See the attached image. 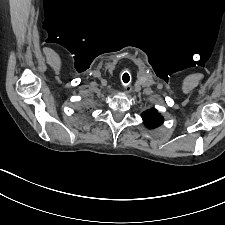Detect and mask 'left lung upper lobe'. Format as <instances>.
Listing matches in <instances>:
<instances>
[{"instance_id":"obj_1","label":"left lung upper lobe","mask_w":225,"mask_h":225,"mask_svg":"<svg viewBox=\"0 0 225 225\" xmlns=\"http://www.w3.org/2000/svg\"><path fill=\"white\" fill-rule=\"evenodd\" d=\"M144 124L149 129H154L159 127L163 123V118L161 115L157 112L156 109L147 110L141 115Z\"/></svg>"}]
</instances>
